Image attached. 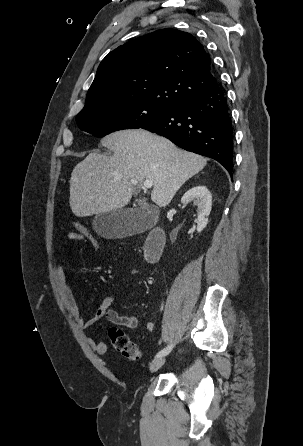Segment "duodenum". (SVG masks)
Here are the masks:
<instances>
[{
    "label": "duodenum",
    "instance_id": "1",
    "mask_svg": "<svg viewBox=\"0 0 303 446\" xmlns=\"http://www.w3.org/2000/svg\"><path fill=\"white\" fill-rule=\"evenodd\" d=\"M165 242L166 238L164 231L160 228L152 229L143 246L145 259L149 262L156 261L164 249Z\"/></svg>",
    "mask_w": 303,
    "mask_h": 446
}]
</instances>
